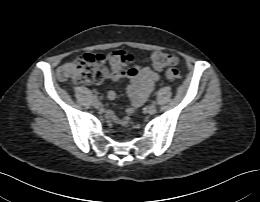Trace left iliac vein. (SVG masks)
I'll return each instance as SVG.
<instances>
[{"label": "left iliac vein", "instance_id": "left-iliac-vein-1", "mask_svg": "<svg viewBox=\"0 0 260 202\" xmlns=\"http://www.w3.org/2000/svg\"><path fill=\"white\" fill-rule=\"evenodd\" d=\"M156 111H157V107L155 106V105H153V104H151V105H149L148 107H147V113H149V114H155L156 113Z\"/></svg>", "mask_w": 260, "mask_h": 202}]
</instances>
